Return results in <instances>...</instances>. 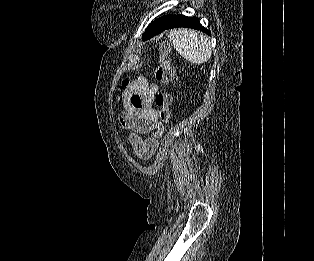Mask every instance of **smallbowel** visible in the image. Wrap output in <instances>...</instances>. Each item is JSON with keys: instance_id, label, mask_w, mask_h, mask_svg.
Masks as SVG:
<instances>
[{"instance_id": "small-bowel-1", "label": "small bowel", "mask_w": 314, "mask_h": 261, "mask_svg": "<svg viewBox=\"0 0 314 261\" xmlns=\"http://www.w3.org/2000/svg\"><path fill=\"white\" fill-rule=\"evenodd\" d=\"M158 85L150 83L146 77H137L123 92L124 111L120 115V124L129 131V142L135 153L144 160L154 154L158 138L162 135L163 124L155 108V96ZM154 132V135L142 138V135Z\"/></svg>"}]
</instances>
